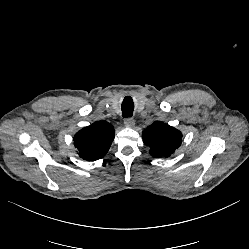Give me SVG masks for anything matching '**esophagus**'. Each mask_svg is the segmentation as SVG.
<instances>
[{
	"label": "esophagus",
	"mask_w": 249,
	"mask_h": 249,
	"mask_svg": "<svg viewBox=\"0 0 249 249\" xmlns=\"http://www.w3.org/2000/svg\"><path fill=\"white\" fill-rule=\"evenodd\" d=\"M124 124L127 128H133L135 126V122L132 118H125Z\"/></svg>",
	"instance_id": "34e87169"
}]
</instances>
